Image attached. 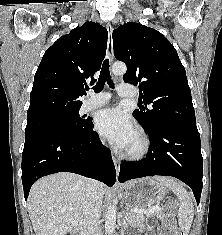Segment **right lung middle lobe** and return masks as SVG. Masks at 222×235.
<instances>
[{
    "mask_svg": "<svg viewBox=\"0 0 222 235\" xmlns=\"http://www.w3.org/2000/svg\"><path fill=\"white\" fill-rule=\"evenodd\" d=\"M80 107L81 104L68 105L40 116L27 118L25 142L52 133L72 134L83 128L88 119L79 117Z\"/></svg>",
    "mask_w": 222,
    "mask_h": 235,
    "instance_id": "obj_1",
    "label": "right lung middle lobe"
}]
</instances>
